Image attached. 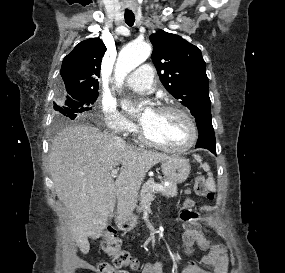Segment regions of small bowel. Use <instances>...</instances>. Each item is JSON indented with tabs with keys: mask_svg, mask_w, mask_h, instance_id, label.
Returning a JSON list of instances; mask_svg holds the SVG:
<instances>
[{
	"mask_svg": "<svg viewBox=\"0 0 285 273\" xmlns=\"http://www.w3.org/2000/svg\"><path fill=\"white\" fill-rule=\"evenodd\" d=\"M192 199V198H190ZM194 201V200H193ZM211 207H207L210 209ZM196 244L203 250H208L209 253L203 258V263L213 268V273H227L228 271V254L224 245L213 243L202 232H199ZM141 273H165V265L161 261L146 264ZM182 273H208L193 262H188L183 268Z\"/></svg>",
	"mask_w": 285,
	"mask_h": 273,
	"instance_id": "obj_1",
	"label": "small bowel"
}]
</instances>
